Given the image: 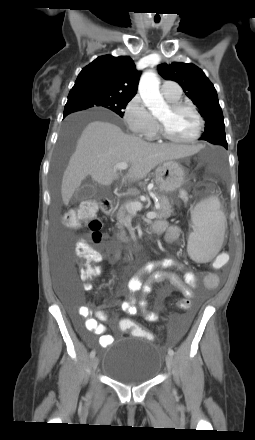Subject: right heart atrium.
I'll return each mask as SVG.
<instances>
[{"instance_id": "right-heart-atrium-1", "label": "right heart atrium", "mask_w": 255, "mask_h": 440, "mask_svg": "<svg viewBox=\"0 0 255 440\" xmlns=\"http://www.w3.org/2000/svg\"><path fill=\"white\" fill-rule=\"evenodd\" d=\"M124 120L128 129L141 137H152L158 131L156 120L138 95L128 102L124 111Z\"/></svg>"}]
</instances>
